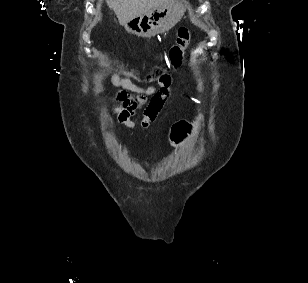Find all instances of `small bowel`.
Here are the masks:
<instances>
[{
	"instance_id": "obj_1",
	"label": "small bowel",
	"mask_w": 308,
	"mask_h": 283,
	"mask_svg": "<svg viewBox=\"0 0 308 283\" xmlns=\"http://www.w3.org/2000/svg\"><path fill=\"white\" fill-rule=\"evenodd\" d=\"M110 82L121 89L111 97L110 110L121 124L132 130L138 125L142 128L149 127L157 119L171 93V85L159 82L156 85L139 86L117 71L111 74ZM140 111H143V115L137 120Z\"/></svg>"
}]
</instances>
